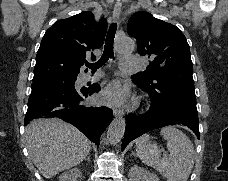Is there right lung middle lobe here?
Instances as JSON below:
<instances>
[{
	"mask_svg": "<svg viewBox=\"0 0 228 181\" xmlns=\"http://www.w3.org/2000/svg\"><path fill=\"white\" fill-rule=\"evenodd\" d=\"M76 77L77 76L49 78L44 80L33 81V83H41V82H49V81H65L67 79L76 78Z\"/></svg>",
	"mask_w": 228,
	"mask_h": 181,
	"instance_id": "dd1d6c3e",
	"label": "right lung middle lobe"
}]
</instances>
